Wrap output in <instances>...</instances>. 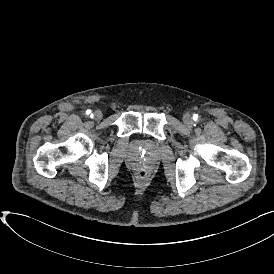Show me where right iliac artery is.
<instances>
[{
	"label": "right iliac artery",
	"mask_w": 274,
	"mask_h": 274,
	"mask_svg": "<svg viewBox=\"0 0 274 274\" xmlns=\"http://www.w3.org/2000/svg\"><path fill=\"white\" fill-rule=\"evenodd\" d=\"M86 114H87V115L91 114V110H87V111H86Z\"/></svg>",
	"instance_id": "obj_1"
}]
</instances>
